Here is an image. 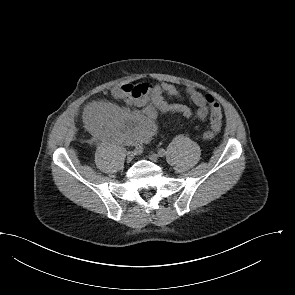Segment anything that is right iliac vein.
Instances as JSON below:
<instances>
[{
  "label": "right iliac vein",
  "mask_w": 295,
  "mask_h": 295,
  "mask_svg": "<svg viewBox=\"0 0 295 295\" xmlns=\"http://www.w3.org/2000/svg\"><path fill=\"white\" fill-rule=\"evenodd\" d=\"M134 156H135V153L133 151H129L127 153V161H129V162L132 161Z\"/></svg>",
  "instance_id": "1"
}]
</instances>
